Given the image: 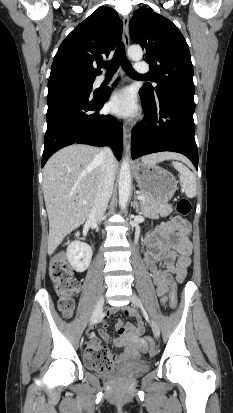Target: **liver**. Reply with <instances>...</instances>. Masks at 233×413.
<instances>
[{
    "mask_svg": "<svg viewBox=\"0 0 233 413\" xmlns=\"http://www.w3.org/2000/svg\"><path fill=\"white\" fill-rule=\"evenodd\" d=\"M99 148L74 144L56 152L43 169V193L49 219L48 254L52 255L67 234L88 218L98 191L102 158ZM180 159L162 152L142 158L149 164ZM115 162V168H117ZM85 201V203H83Z\"/></svg>",
    "mask_w": 233,
    "mask_h": 413,
    "instance_id": "1",
    "label": "liver"
}]
</instances>
